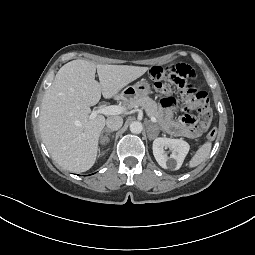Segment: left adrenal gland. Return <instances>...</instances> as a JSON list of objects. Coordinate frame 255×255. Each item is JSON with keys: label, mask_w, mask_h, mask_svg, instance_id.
Returning a JSON list of instances; mask_svg holds the SVG:
<instances>
[{"label": "left adrenal gland", "mask_w": 255, "mask_h": 255, "mask_svg": "<svg viewBox=\"0 0 255 255\" xmlns=\"http://www.w3.org/2000/svg\"><path fill=\"white\" fill-rule=\"evenodd\" d=\"M153 127H156V126L151 125V126L149 127V130H148V131H150Z\"/></svg>", "instance_id": "a2214340"}]
</instances>
